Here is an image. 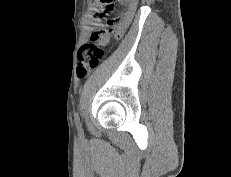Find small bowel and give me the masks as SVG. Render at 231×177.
Masks as SVG:
<instances>
[{"instance_id":"c3829d8e","label":"small bowel","mask_w":231,"mask_h":177,"mask_svg":"<svg viewBox=\"0 0 231 177\" xmlns=\"http://www.w3.org/2000/svg\"><path fill=\"white\" fill-rule=\"evenodd\" d=\"M96 10H97L96 6H93L91 8L92 13L88 14L85 17V23L87 25L92 24L94 22V13L96 12ZM127 25H128V16L125 17L124 21L117 27L116 33L118 35L122 34L125 31V29L127 28Z\"/></svg>"}]
</instances>
